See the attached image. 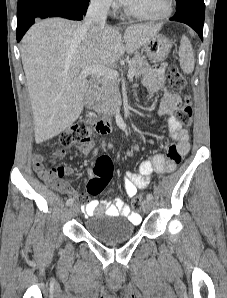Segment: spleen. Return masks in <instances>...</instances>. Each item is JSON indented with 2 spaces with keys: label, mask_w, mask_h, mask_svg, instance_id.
Segmentation results:
<instances>
[{
  "label": "spleen",
  "mask_w": 227,
  "mask_h": 298,
  "mask_svg": "<svg viewBox=\"0 0 227 298\" xmlns=\"http://www.w3.org/2000/svg\"><path fill=\"white\" fill-rule=\"evenodd\" d=\"M179 57L181 69L187 74L192 73L195 65L194 52L190 40L185 35L181 38Z\"/></svg>",
  "instance_id": "3e777b00"
}]
</instances>
